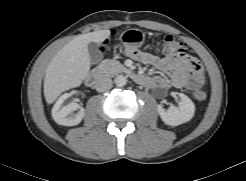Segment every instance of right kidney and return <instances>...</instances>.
<instances>
[{"instance_id":"obj_1","label":"right kidney","mask_w":246,"mask_h":181,"mask_svg":"<svg viewBox=\"0 0 246 181\" xmlns=\"http://www.w3.org/2000/svg\"><path fill=\"white\" fill-rule=\"evenodd\" d=\"M69 97L68 94H63L56 101L55 105L52 108V117L54 121L63 126H75L79 124L85 115V109L80 107L79 104L71 102L66 106H62L63 102ZM79 109L75 115L69 116L73 111Z\"/></svg>"}]
</instances>
